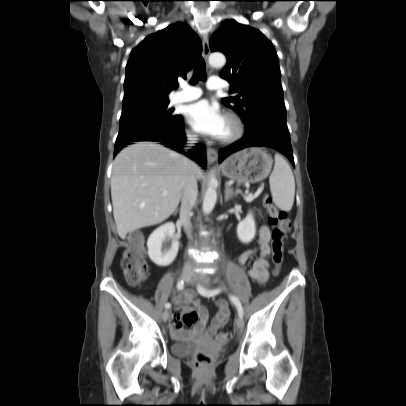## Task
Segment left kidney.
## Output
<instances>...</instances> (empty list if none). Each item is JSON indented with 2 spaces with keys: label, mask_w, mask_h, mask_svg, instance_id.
Returning a JSON list of instances; mask_svg holds the SVG:
<instances>
[{
  "label": "left kidney",
  "mask_w": 406,
  "mask_h": 406,
  "mask_svg": "<svg viewBox=\"0 0 406 406\" xmlns=\"http://www.w3.org/2000/svg\"><path fill=\"white\" fill-rule=\"evenodd\" d=\"M237 237L242 243H250L256 235V225L253 213L249 211L246 218L237 225Z\"/></svg>",
  "instance_id": "obj_1"
}]
</instances>
